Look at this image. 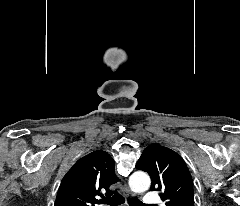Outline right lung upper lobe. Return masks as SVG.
Returning a JSON list of instances; mask_svg holds the SVG:
<instances>
[{"label": "right lung upper lobe", "instance_id": "right-lung-upper-lobe-1", "mask_svg": "<svg viewBox=\"0 0 240 206\" xmlns=\"http://www.w3.org/2000/svg\"><path fill=\"white\" fill-rule=\"evenodd\" d=\"M118 181L111 156L102 150L93 151L64 176L54 206H95L96 197L112 193L109 188Z\"/></svg>", "mask_w": 240, "mask_h": 206}]
</instances>
